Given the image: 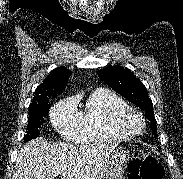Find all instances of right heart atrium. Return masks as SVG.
<instances>
[{"label":"right heart atrium","mask_w":183,"mask_h":179,"mask_svg":"<svg viewBox=\"0 0 183 179\" xmlns=\"http://www.w3.org/2000/svg\"><path fill=\"white\" fill-rule=\"evenodd\" d=\"M51 120L63 137L74 140L80 136L82 120L75 98L70 97L58 102L51 111Z\"/></svg>","instance_id":"obj_1"}]
</instances>
